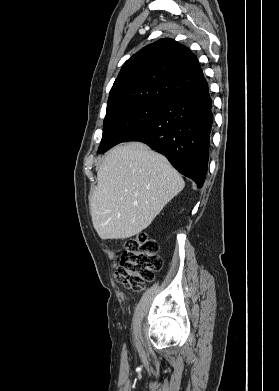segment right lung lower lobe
Returning a JSON list of instances; mask_svg holds the SVG:
<instances>
[{
    "label": "right lung lower lobe",
    "instance_id": "right-lung-lower-lobe-1",
    "mask_svg": "<svg viewBox=\"0 0 279 391\" xmlns=\"http://www.w3.org/2000/svg\"><path fill=\"white\" fill-rule=\"evenodd\" d=\"M206 80L165 102L155 118L126 141H141L165 155L183 175L203 186L213 123Z\"/></svg>",
    "mask_w": 279,
    "mask_h": 391
}]
</instances>
